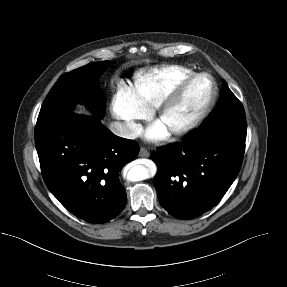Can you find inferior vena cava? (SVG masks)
Listing matches in <instances>:
<instances>
[{"mask_svg":"<svg viewBox=\"0 0 287 287\" xmlns=\"http://www.w3.org/2000/svg\"><path fill=\"white\" fill-rule=\"evenodd\" d=\"M110 130L115 135L126 139H135L139 134L136 124L133 123L114 122L111 123Z\"/></svg>","mask_w":287,"mask_h":287,"instance_id":"602c4592","label":"inferior vena cava"}]
</instances>
